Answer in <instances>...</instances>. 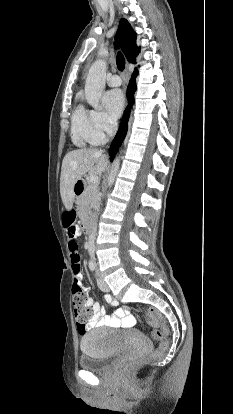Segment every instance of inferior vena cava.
<instances>
[{"mask_svg":"<svg viewBox=\"0 0 233 414\" xmlns=\"http://www.w3.org/2000/svg\"><path fill=\"white\" fill-rule=\"evenodd\" d=\"M111 129H112L111 135H114V133L117 129V120L116 119H113L111 121ZM88 237H89V239H88L89 257H94V254L96 253L95 242L97 240L96 239V237H97L96 230L92 229L91 232L88 234Z\"/></svg>","mask_w":233,"mask_h":414,"instance_id":"obj_1","label":"inferior vena cava"}]
</instances>
